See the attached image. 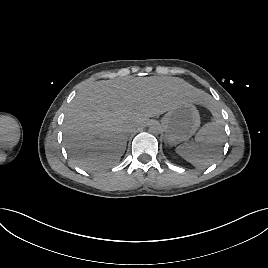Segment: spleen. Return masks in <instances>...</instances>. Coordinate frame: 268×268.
<instances>
[{"label":"spleen","mask_w":268,"mask_h":268,"mask_svg":"<svg viewBox=\"0 0 268 268\" xmlns=\"http://www.w3.org/2000/svg\"><path fill=\"white\" fill-rule=\"evenodd\" d=\"M223 137V119L218 112H213V120L200 128L195 142L178 146L176 152L195 167L204 169L220 156Z\"/></svg>","instance_id":"spleen-1"}]
</instances>
